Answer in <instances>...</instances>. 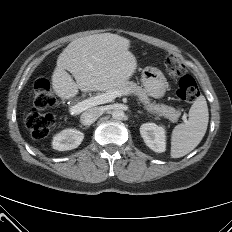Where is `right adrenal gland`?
<instances>
[{
  "mask_svg": "<svg viewBox=\"0 0 232 232\" xmlns=\"http://www.w3.org/2000/svg\"><path fill=\"white\" fill-rule=\"evenodd\" d=\"M79 127L82 128L83 126L80 125ZM87 128H88V126H85V127H83L82 129H87Z\"/></svg>",
  "mask_w": 232,
  "mask_h": 232,
  "instance_id": "right-adrenal-gland-1",
  "label": "right adrenal gland"
}]
</instances>
